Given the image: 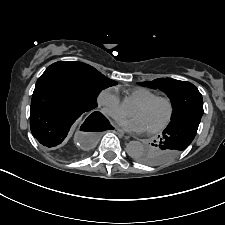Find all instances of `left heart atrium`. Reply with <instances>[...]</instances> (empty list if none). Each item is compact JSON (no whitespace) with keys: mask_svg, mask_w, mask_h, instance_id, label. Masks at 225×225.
I'll list each match as a JSON object with an SVG mask.
<instances>
[{"mask_svg":"<svg viewBox=\"0 0 225 225\" xmlns=\"http://www.w3.org/2000/svg\"><path fill=\"white\" fill-rule=\"evenodd\" d=\"M120 126L131 132H143L147 130L144 122L138 116H120L117 119Z\"/></svg>","mask_w":225,"mask_h":225,"instance_id":"1","label":"left heart atrium"}]
</instances>
